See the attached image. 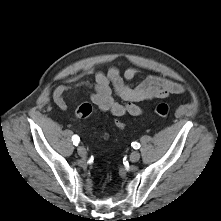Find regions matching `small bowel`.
Instances as JSON below:
<instances>
[{"label":"small bowel","mask_w":221,"mask_h":221,"mask_svg":"<svg viewBox=\"0 0 221 221\" xmlns=\"http://www.w3.org/2000/svg\"><path fill=\"white\" fill-rule=\"evenodd\" d=\"M137 75L138 70L135 67H127L123 74L116 66L109 68L107 72L87 68L67 77V84L56 87L53 91V100L59 109L66 110L68 107L66 94L75 88H87L91 91V101L100 111L108 112L115 117L139 116L143 113L139 103L165 99L184 92V87L180 83L158 76L146 77L138 85L131 86L130 83ZM88 76H93V81L83 80ZM114 94L124 103L117 102Z\"/></svg>","instance_id":"small-bowel-1"}]
</instances>
